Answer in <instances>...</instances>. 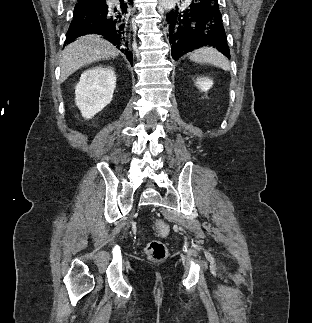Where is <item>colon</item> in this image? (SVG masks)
<instances>
[{"mask_svg": "<svg viewBox=\"0 0 312 323\" xmlns=\"http://www.w3.org/2000/svg\"><path fill=\"white\" fill-rule=\"evenodd\" d=\"M156 233H167L168 226L162 221L158 220L155 224ZM146 254L155 261L163 260L167 255L166 246L159 241H151L145 248Z\"/></svg>", "mask_w": 312, "mask_h": 323, "instance_id": "colon-1", "label": "colon"}]
</instances>
